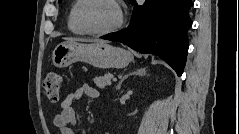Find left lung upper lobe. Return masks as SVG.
Segmentation results:
<instances>
[{
    "label": "left lung upper lobe",
    "mask_w": 239,
    "mask_h": 134,
    "mask_svg": "<svg viewBox=\"0 0 239 134\" xmlns=\"http://www.w3.org/2000/svg\"><path fill=\"white\" fill-rule=\"evenodd\" d=\"M62 0H59V2H61ZM134 1V0H131V2Z\"/></svg>",
    "instance_id": "5c2ea615"
}]
</instances>
